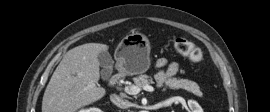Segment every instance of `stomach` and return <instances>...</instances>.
Returning a JSON list of instances; mask_svg holds the SVG:
<instances>
[{
    "label": "stomach",
    "instance_id": "0dacf381",
    "mask_svg": "<svg viewBox=\"0 0 270 112\" xmlns=\"http://www.w3.org/2000/svg\"><path fill=\"white\" fill-rule=\"evenodd\" d=\"M149 51V41L144 34L126 35L115 51L118 67L129 74L146 72L150 66Z\"/></svg>",
    "mask_w": 270,
    "mask_h": 112
}]
</instances>
